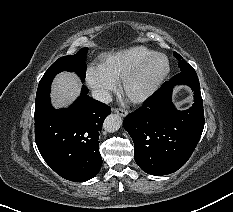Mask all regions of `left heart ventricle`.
<instances>
[{
  "mask_svg": "<svg viewBox=\"0 0 233 212\" xmlns=\"http://www.w3.org/2000/svg\"><path fill=\"white\" fill-rule=\"evenodd\" d=\"M166 62L163 58L158 57L148 63L140 72L137 78L130 85V92L138 94L150 87L158 77L164 72Z\"/></svg>",
  "mask_w": 233,
  "mask_h": 212,
  "instance_id": "1",
  "label": "left heart ventricle"
}]
</instances>
